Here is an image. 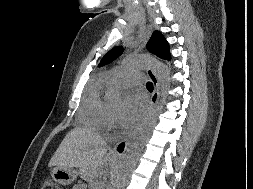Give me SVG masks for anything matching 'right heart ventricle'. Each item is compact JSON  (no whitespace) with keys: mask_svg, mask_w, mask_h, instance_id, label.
Returning <instances> with one entry per match:
<instances>
[{"mask_svg":"<svg viewBox=\"0 0 253 189\" xmlns=\"http://www.w3.org/2000/svg\"><path fill=\"white\" fill-rule=\"evenodd\" d=\"M104 85L90 88L79 112L80 122L94 131L105 130L111 122V112L102 100Z\"/></svg>","mask_w":253,"mask_h":189,"instance_id":"1","label":"right heart ventricle"}]
</instances>
